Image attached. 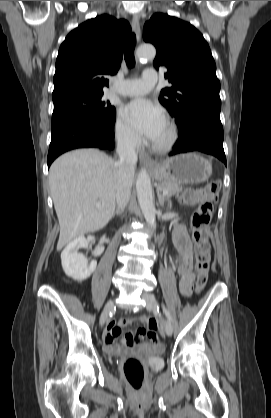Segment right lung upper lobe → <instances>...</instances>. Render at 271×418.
<instances>
[{
	"instance_id": "cb5924a9",
	"label": "right lung upper lobe",
	"mask_w": 271,
	"mask_h": 418,
	"mask_svg": "<svg viewBox=\"0 0 271 418\" xmlns=\"http://www.w3.org/2000/svg\"><path fill=\"white\" fill-rule=\"evenodd\" d=\"M131 30L124 20L104 14L71 31L56 60L53 101L76 94L103 92L105 75L120 67L123 44Z\"/></svg>"
}]
</instances>
